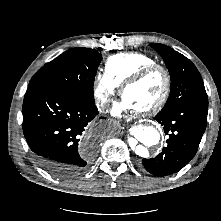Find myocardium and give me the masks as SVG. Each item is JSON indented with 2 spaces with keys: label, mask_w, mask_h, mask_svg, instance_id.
Returning <instances> with one entry per match:
<instances>
[{
  "label": "myocardium",
  "mask_w": 221,
  "mask_h": 221,
  "mask_svg": "<svg viewBox=\"0 0 221 221\" xmlns=\"http://www.w3.org/2000/svg\"><path fill=\"white\" fill-rule=\"evenodd\" d=\"M156 72H160L163 75L164 90H163L161 96L159 97V99L155 103H153L151 106H149L145 109L137 110L136 112L139 115L154 114V113L160 111L164 107V105L166 104V102L169 99V96L171 93V87H172L171 76H170L169 71L165 67H163L162 65L157 64V63L147 65V66L141 68L140 70H138L131 77H129L124 82V84L122 86L121 93H122V96H124L125 91L130 86L141 82L142 80H144L145 78L151 76L152 74H154Z\"/></svg>",
  "instance_id": "myocardium-1"
}]
</instances>
